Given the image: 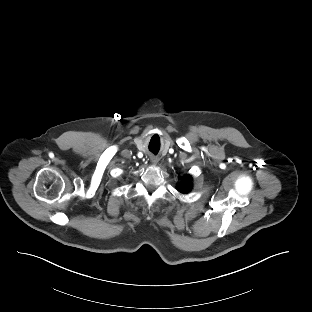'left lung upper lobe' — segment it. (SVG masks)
Segmentation results:
<instances>
[{"label":"left lung upper lobe","mask_w":312,"mask_h":312,"mask_svg":"<svg viewBox=\"0 0 312 312\" xmlns=\"http://www.w3.org/2000/svg\"><path fill=\"white\" fill-rule=\"evenodd\" d=\"M191 187H192L191 176L190 175H186L185 177H183V179L179 183L178 190L181 193H187V192H189L191 190Z\"/></svg>","instance_id":"1"}]
</instances>
